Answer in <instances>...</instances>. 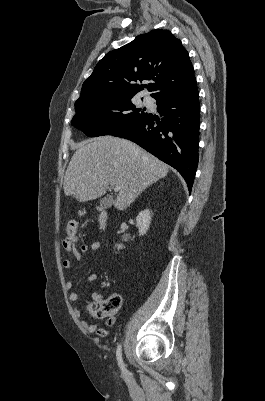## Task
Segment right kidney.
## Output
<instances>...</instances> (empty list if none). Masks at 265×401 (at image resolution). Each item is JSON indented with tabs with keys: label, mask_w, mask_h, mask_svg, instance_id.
Here are the masks:
<instances>
[{
	"label": "right kidney",
	"mask_w": 265,
	"mask_h": 401,
	"mask_svg": "<svg viewBox=\"0 0 265 401\" xmlns=\"http://www.w3.org/2000/svg\"><path fill=\"white\" fill-rule=\"evenodd\" d=\"M151 211L149 209H145V211H141L139 215L136 217V227L139 229V235H146L151 221ZM117 249H123V245H116Z\"/></svg>",
	"instance_id": "ca27d5eb"
}]
</instances>
